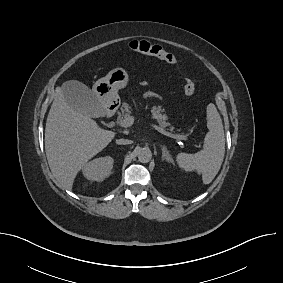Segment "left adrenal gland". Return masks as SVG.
<instances>
[{
  "label": "left adrenal gland",
  "instance_id": "left-adrenal-gland-1",
  "mask_svg": "<svg viewBox=\"0 0 283 283\" xmlns=\"http://www.w3.org/2000/svg\"><path fill=\"white\" fill-rule=\"evenodd\" d=\"M161 149H162V160H166L167 162L173 164V159H172L169 151L167 150L166 146L161 145Z\"/></svg>",
  "mask_w": 283,
  "mask_h": 283
}]
</instances>
